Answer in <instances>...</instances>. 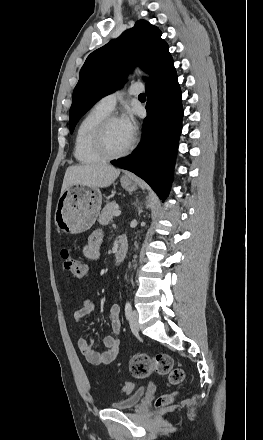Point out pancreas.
<instances>
[{"instance_id": "pancreas-1", "label": "pancreas", "mask_w": 263, "mask_h": 440, "mask_svg": "<svg viewBox=\"0 0 263 440\" xmlns=\"http://www.w3.org/2000/svg\"><path fill=\"white\" fill-rule=\"evenodd\" d=\"M117 209H118V206H117L116 202L113 201V202L107 203V205L103 208V210L99 216V219H98L99 224L103 225V226L108 225L110 223V221H112L114 213H115V211H117Z\"/></svg>"}]
</instances>
